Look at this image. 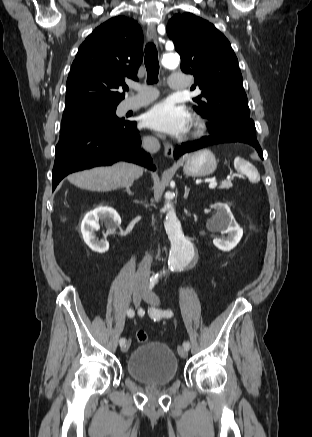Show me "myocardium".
I'll list each match as a JSON object with an SVG mask.
<instances>
[{
	"instance_id": "myocardium-1",
	"label": "myocardium",
	"mask_w": 312,
	"mask_h": 437,
	"mask_svg": "<svg viewBox=\"0 0 312 437\" xmlns=\"http://www.w3.org/2000/svg\"><path fill=\"white\" fill-rule=\"evenodd\" d=\"M195 128L196 134H201L205 130L206 124L203 120H198L195 124Z\"/></svg>"
}]
</instances>
